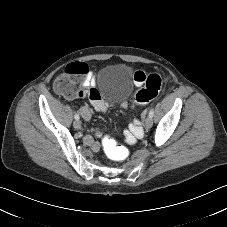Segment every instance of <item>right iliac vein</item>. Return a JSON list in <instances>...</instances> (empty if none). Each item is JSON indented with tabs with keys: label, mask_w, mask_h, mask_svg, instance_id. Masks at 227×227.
I'll list each match as a JSON object with an SVG mask.
<instances>
[{
	"label": "right iliac vein",
	"mask_w": 227,
	"mask_h": 227,
	"mask_svg": "<svg viewBox=\"0 0 227 227\" xmlns=\"http://www.w3.org/2000/svg\"><path fill=\"white\" fill-rule=\"evenodd\" d=\"M73 127H74L76 130L81 129V122H80L79 120L74 121Z\"/></svg>",
	"instance_id": "right-iliac-vein-1"
}]
</instances>
